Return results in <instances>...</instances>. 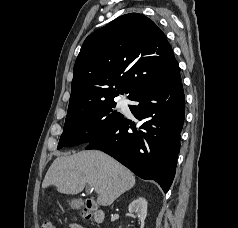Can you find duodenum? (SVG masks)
Instances as JSON below:
<instances>
[{"instance_id": "410a0bca", "label": "duodenum", "mask_w": 238, "mask_h": 228, "mask_svg": "<svg viewBox=\"0 0 238 228\" xmlns=\"http://www.w3.org/2000/svg\"><path fill=\"white\" fill-rule=\"evenodd\" d=\"M85 206L87 207L88 210L92 211L94 213V218L97 222H100L104 219V211L100 209L96 204L88 200L85 202Z\"/></svg>"}]
</instances>
